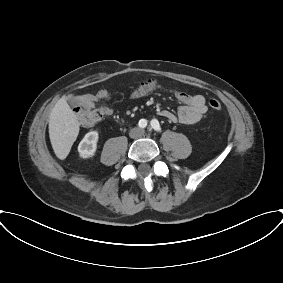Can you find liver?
I'll use <instances>...</instances> for the list:
<instances>
[{
    "mask_svg": "<svg viewBox=\"0 0 283 283\" xmlns=\"http://www.w3.org/2000/svg\"><path fill=\"white\" fill-rule=\"evenodd\" d=\"M79 134L76 114L65 98L55 104L49 116V137L56 156L63 160L69 154Z\"/></svg>",
    "mask_w": 283,
    "mask_h": 283,
    "instance_id": "1",
    "label": "liver"
}]
</instances>
